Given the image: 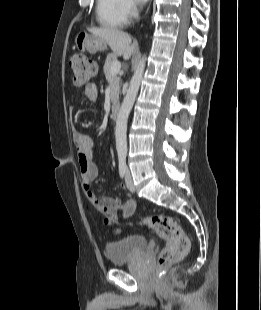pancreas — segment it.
Wrapping results in <instances>:
<instances>
[{
  "mask_svg": "<svg viewBox=\"0 0 261 310\" xmlns=\"http://www.w3.org/2000/svg\"><path fill=\"white\" fill-rule=\"evenodd\" d=\"M116 61H117V55L109 54L106 58L103 68L106 80L109 83L111 89L110 99L112 103L118 102L120 94V77L117 74L112 75L110 71L112 64Z\"/></svg>",
  "mask_w": 261,
  "mask_h": 310,
  "instance_id": "obj_1",
  "label": "pancreas"
}]
</instances>
